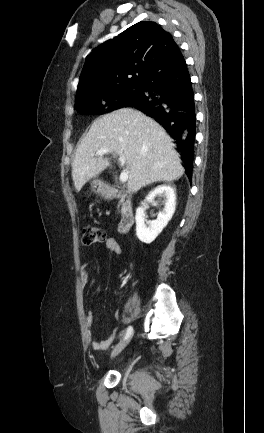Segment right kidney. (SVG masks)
Returning <instances> with one entry per match:
<instances>
[{
    "mask_svg": "<svg viewBox=\"0 0 264 433\" xmlns=\"http://www.w3.org/2000/svg\"><path fill=\"white\" fill-rule=\"evenodd\" d=\"M156 196H161L165 200V206L162 212H159L157 219L147 221L145 218V210L147 204L138 207L136 211V235L141 242L151 243L162 232L171 220L176 206V194L173 187L170 185H161L151 191L146 197L145 201H153Z\"/></svg>",
    "mask_w": 264,
    "mask_h": 433,
    "instance_id": "right-kidney-1",
    "label": "right kidney"
}]
</instances>
